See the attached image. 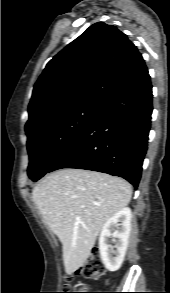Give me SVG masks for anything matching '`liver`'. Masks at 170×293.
Here are the masks:
<instances>
[{
	"instance_id": "liver-1",
	"label": "liver",
	"mask_w": 170,
	"mask_h": 293,
	"mask_svg": "<svg viewBox=\"0 0 170 293\" xmlns=\"http://www.w3.org/2000/svg\"><path fill=\"white\" fill-rule=\"evenodd\" d=\"M131 195L122 178L72 168L53 172L34 187L33 201L62 243L67 274L83 266L105 222L129 204Z\"/></svg>"
}]
</instances>
